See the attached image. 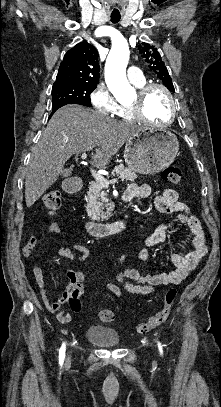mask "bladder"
Listing matches in <instances>:
<instances>
[{
  "label": "bladder",
  "mask_w": 221,
  "mask_h": 407,
  "mask_svg": "<svg viewBox=\"0 0 221 407\" xmlns=\"http://www.w3.org/2000/svg\"><path fill=\"white\" fill-rule=\"evenodd\" d=\"M85 338L103 347H115L120 343L119 333L114 328L105 325L90 326L86 330Z\"/></svg>",
  "instance_id": "31cf9c89"
}]
</instances>
